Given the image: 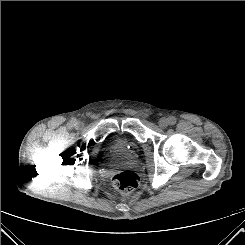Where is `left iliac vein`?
<instances>
[{
  "instance_id": "obj_1",
  "label": "left iliac vein",
  "mask_w": 245,
  "mask_h": 245,
  "mask_svg": "<svg viewBox=\"0 0 245 245\" xmlns=\"http://www.w3.org/2000/svg\"><path fill=\"white\" fill-rule=\"evenodd\" d=\"M168 124H169V121H168L167 118H161V119L159 120V126L162 127V128L167 127Z\"/></svg>"
}]
</instances>
